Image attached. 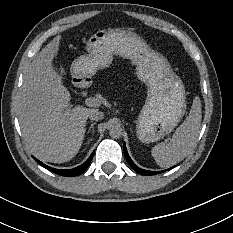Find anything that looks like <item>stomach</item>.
Here are the masks:
<instances>
[{
    "label": "stomach",
    "instance_id": "stomach-1",
    "mask_svg": "<svg viewBox=\"0 0 233 233\" xmlns=\"http://www.w3.org/2000/svg\"><path fill=\"white\" fill-rule=\"evenodd\" d=\"M86 50L70 67L77 87L84 85L78 79L90 80L99 70L108 68L114 55L131 59L137 66L136 75L149 86L147 102L137 122L139 138L156 141L176 126L185 108L183 85L172 75L166 59L149 49L141 37L117 28L103 29L88 39Z\"/></svg>",
    "mask_w": 233,
    "mask_h": 233
}]
</instances>
